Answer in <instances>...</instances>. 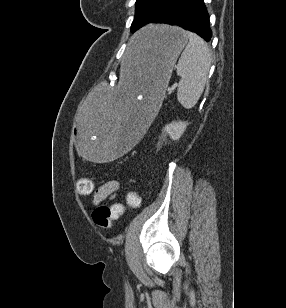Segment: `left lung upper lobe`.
I'll return each mask as SVG.
<instances>
[{
	"label": "left lung upper lobe",
	"instance_id": "left-lung-upper-lobe-1",
	"mask_svg": "<svg viewBox=\"0 0 286 308\" xmlns=\"http://www.w3.org/2000/svg\"><path fill=\"white\" fill-rule=\"evenodd\" d=\"M172 0H137L135 14L141 20L134 21L131 32L136 31L149 22H154Z\"/></svg>",
	"mask_w": 286,
	"mask_h": 308
}]
</instances>
